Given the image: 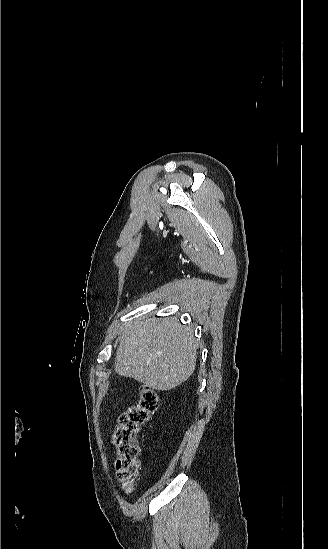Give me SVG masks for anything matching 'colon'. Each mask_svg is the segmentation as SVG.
Wrapping results in <instances>:
<instances>
[{
  "mask_svg": "<svg viewBox=\"0 0 328 549\" xmlns=\"http://www.w3.org/2000/svg\"><path fill=\"white\" fill-rule=\"evenodd\" d=\"M159 405L158 393L148 387L140 388V399L118 419L112 443L116 449L117 478L122 488L131 493L139 475V446L137 434L151 419Z\"/></svg>",
  "mask_w": 328,
  "mask_h": 549,
  "instance_id": "obj_1",
  "label": "colon"
}]
</instances>
